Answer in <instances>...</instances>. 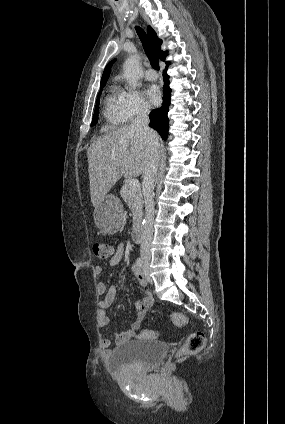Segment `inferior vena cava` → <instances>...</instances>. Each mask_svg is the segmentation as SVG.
<instances>
[{"label":"inferior vena cava","mask_w":285,"mask_h":424,"mask_svg":"<svg viewBox=\"0 0 285 424\" xmlns=\"http://www.w3.org/2000/svg\"><path fill=\"white\" fill-rule=\"evenodd\" d=\"M149 113L150 109L148 106L143 105L140 107L136 118L131 124V128L140 132L145 138L149 145V157L148 164L145 173L143 174V193L145 200V224L143 227V237L141 243V259L144 261H150V247L153 238V222H154V181L158 170V147L153 144V138L155 132L149 127Z\"/></svg>","instance_id":"1"}]
</instances>
